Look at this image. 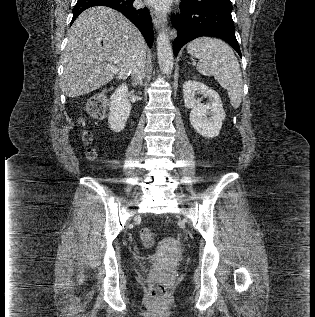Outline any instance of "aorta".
I'll return each mask as SVG.
<instances>
[{
	"instance_id": "762f6f07",
	"label": "aorta",
	"mask_w": 315,
	"mask_h": 317,
	"mask_svg": "<svg viewBox=\"0 0 315 317\" xmlns=\"http://www.w3.org/2000/svg\"><path fill=\"white\" fill-rule=\"evenodd\" d=\"M158 63L162 73L169 76L173 70V51L169 37L165 31H161L157 37Z\"/></svg>"
}]
</instances>
